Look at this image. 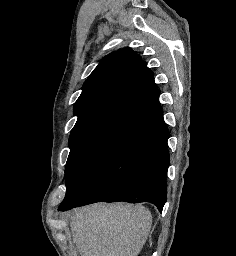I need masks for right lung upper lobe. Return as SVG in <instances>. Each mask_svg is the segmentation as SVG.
Masks as SVG:
<instances>
[{
    "instance_id": "right-lung-upper-lobe-1",
    "label": "right lung upper lobe",
    "mask_w": 236,
    "mask_h": 256,
    "mask_svg": "<svg viewBox=\"0 0 236 256\" xmlns=\"http://www.w3.org/2000/svg\"><path fill=\"white\" fill-rule=\"evenodd\" d=\"M82 89L74 106L76 124L111 114H123L151 124L163 119L153 75L130 48L106 56Z\"/></svg>"
}]
</instances>
